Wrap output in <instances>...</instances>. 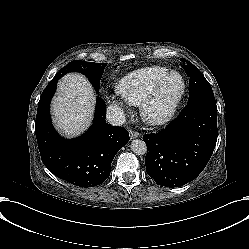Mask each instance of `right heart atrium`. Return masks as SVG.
<instances>
[{
  "label": "right heart atrium",
  "instance_id": "1",
  "mask_svg": "<svg viewBox=\"0 0 249 249\" xmlns=\"http://www.w3.org/2000/svg\"><path fill=\"white\" fill-rule=\"evenodd\" d=\"M112 105H113L114 110H118V111H123L127 108L124 102L120 99H115L112 102Z\"/></svg>",
  "mask_w": 249,
  "mask_h": 249
}]
</instances>
